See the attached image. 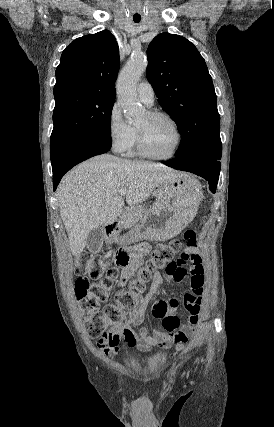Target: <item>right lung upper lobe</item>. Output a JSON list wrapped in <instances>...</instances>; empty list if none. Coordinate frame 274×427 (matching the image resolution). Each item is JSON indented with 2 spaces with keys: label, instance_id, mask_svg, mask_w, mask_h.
I'll return each mask as SVG.
<instances>
[{
  "label": "right lung upper lobe",
  "instance_id": "obj_1",
  "mask_svg": "<svg viewBox=\"0 0 274 427\" xmlns=\"http://www.w3.org/2000/svg\"><path fill=\"white\" fill-rule=\"evenodd\" d=\"M119 64L118 44L110 31L77 38L63 51L56 69L55 104L70 97L115 96Z\"/></svg>",
  "mask_w": 274,
  "mask_h": 427
}]
</instances>
